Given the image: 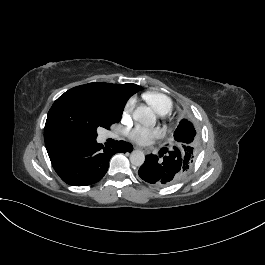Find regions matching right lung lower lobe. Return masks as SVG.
Here are the masks:
<instances>
[{
    "label": "right lung lower lobe",
    "mask_w": 265,
    "mask_h": 265,
    "mask_svg": "<svg viewBox=\"0 0 265 265\" xmlns=\"http://www.w3.org/2000/svg\"><path fill=\"white\" fill-rule=\"evenodd\" d=\"M132 150L133 146L125 141H116L112 148H103L102 144L93 140L71 146L50 160L64 182L73 186H87L102 179L115 153Z\"/></svg>",
    "instance_id": "right-lung-lower-lobe-1"
}]
</instances>
